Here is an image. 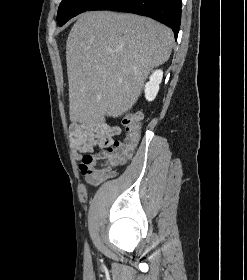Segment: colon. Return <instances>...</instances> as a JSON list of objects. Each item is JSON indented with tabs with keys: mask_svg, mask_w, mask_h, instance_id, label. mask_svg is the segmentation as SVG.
Returning a JSON list of instances; mask_svg holds the SVG:
<instances>
[{
	"mask_svg": "<svg viewBox=\"0 0 247 280\" xmlns=\"http://www.w3.org/2000/svg\"><path fill=\"white\" fill-rule=\"evenodd\" d=\"M123 124L126 130L124 140L113 141L100 152L85 156L82 164L84 173L100 179L108 178L112 175V166L131 157L140 138L141 116L129 114Z\"/></svg>",
	"mask_w": 247,
	"mask_h": 280,
	"instance_id": "1",
	"label": "colon"
}]
</instances>
